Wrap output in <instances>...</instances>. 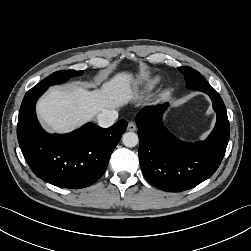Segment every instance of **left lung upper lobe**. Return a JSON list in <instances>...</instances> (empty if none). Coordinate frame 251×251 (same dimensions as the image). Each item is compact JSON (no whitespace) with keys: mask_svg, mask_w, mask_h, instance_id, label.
Here are the masks:
<instances>
[{"mask_svg":"<svg viewBox=\"0 0 251 251\" xmlns=\"http://www.w3.org/2000/svg\"><path fill=\"white\" fill-rule=\"evenodd\" d=\"M185 76V79L187 81V86L189 88H196L198 86H203L207 83V81L201 76V74L190 68V67H179L178 68Z\"/></svg>","mask_w":251,"mask_h":251,"instance_id":"1","label":"left lung upper lobe"}]
</instances>
